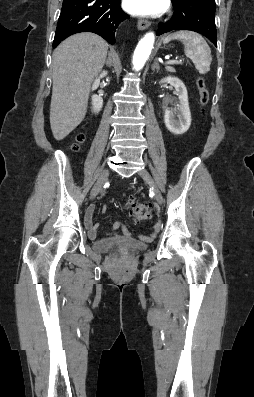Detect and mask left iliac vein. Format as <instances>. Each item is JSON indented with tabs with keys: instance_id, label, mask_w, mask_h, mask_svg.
Listing matches in <instances>:
<instances>
[{
	"instance_id": "4c4485c4",
	"label": "left iliac vein",
	"mask_w": 254,
	"mask_h": 397,
	"mask_svg": "<svg viewBox=\"0 0 254 397\" xmlns=\"http://www.w3.org/2000/svg\"><path fill=\"white\" fill-rule=\"evenodd\" d=\"M138 174L145 182H147L150 185V187L152 188V190L154 192L156 201L160 205H162L164 203L163 196H162L160 190L158 189V187L155 185L150 173L146 169H142L141 171H139Z\"/></svg>"
}]
</instances>
